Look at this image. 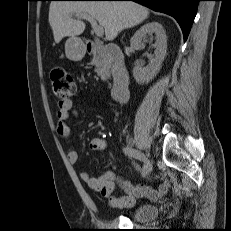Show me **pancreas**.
<instances>
[{"label": "pancreas", "instance_id": "1", "mask_svg": "<svg viewBox=\"0 0 231 231\" xmlns=\"http://www.w3.org/2000/svg\"><path fill=\"white\" fill-rule=\"evenodd\" d=\"M91 64L95 65V72L101 77L102 80H107L110 78L112 66L107 58L96 56L93 58Z\"/></svg>", "mask_w": 231, "mask_h": 231}]
</instances>
